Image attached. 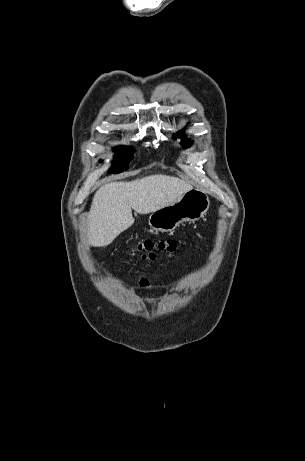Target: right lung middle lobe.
Instances as JSON below:
<instances>
[{"mask_svg": "<svg viewBox=\"0 0 305 461\" xmlns=\"http://www.w3.org/2000/svg\"><path fill=\"white\" fill-rule=\"evenodd\" d=\"M116 152L122 154V157L113 162L110 173L117 174L127 170L130 161L133 159L134 149L132 147L120 146L116 148Z\"/></svg>", "mask_w": 305, "mask_h": 461, "instance_id": "dd1d6c3e", "label": "right lung middle lobe"}]
</instances>
